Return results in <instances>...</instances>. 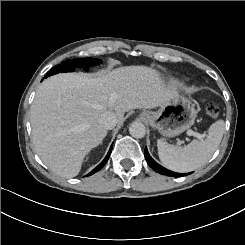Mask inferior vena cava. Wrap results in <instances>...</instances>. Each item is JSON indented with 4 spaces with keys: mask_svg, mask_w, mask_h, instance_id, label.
Instances as JSON below:
<instances>
[{
    "mask_svg": "<svg viewBox=\"0 0 245 245\" xmlns=\"http://www.w3.org/2000/svg\"><path fill=\"white\" fill-rule=\"evenodd\" d=\"M98 124L102 129L111 130L116 126L117 119L112 112L106 111L100 115Z\"/></svg>",
    "mask_w": 245,
    "mask_h": 245,
    "instance_id": "602c4592",
    "label": "inferior vena cava"
}]
</instances>
